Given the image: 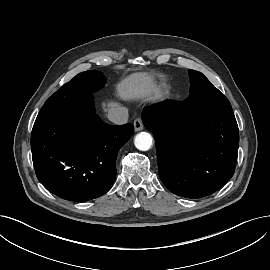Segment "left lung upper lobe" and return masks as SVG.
<instances>
[{"label": "left lung upper lobe", "instance_id": "5c2ea615", "mask_svg": "<svg viewBox=\"0 0 270 270\" xmlns=\"http://www.w3.org/2000/svg\"><path fill=\"white\" fill-rule=\"evenodd\" d=\"M190 92L196 93L198 105L203 112L231 111L228 99L200 72L188 70Z\"/></svg>", "mask_w": 270, "mask_h": 270}]
</instances>
